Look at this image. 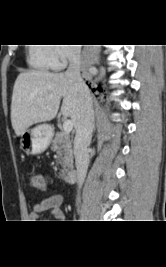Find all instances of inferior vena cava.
<instances>
[{
  "instance_id": "1",
  "label": "inferior vena cava",
  "mask_w": 166,
  "mask_h": 267,
  "mask_svg": "<svg viewBox=\"0 0 166 267\" xmlns=\"http://www.w3.org/2000/svg\"><path fill=\"white\" fill-rule=\"evenodd\" d=\"M80 48L74 47L69 52V66L65 75L74 82L83 96V106L81 109L79 124L76 128L74 139V155L77 169V185L81 189L89 165L88 146L91 143L94 130V110L90 92L80 75ZM78 202L80 197H77Z\"/></svg>"
}]
</instances>
